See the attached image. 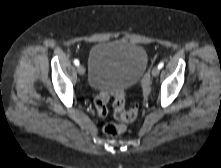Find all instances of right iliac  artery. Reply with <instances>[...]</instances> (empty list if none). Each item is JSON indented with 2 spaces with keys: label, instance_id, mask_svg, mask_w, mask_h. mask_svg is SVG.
Returning a JSON list of instances; mask_svg holds the SVG:
<instances>
[{
  "label": "right iliac artery",
  "instance_id": "1",
  "mask_svg": "<svg viewBox=\"0 0 221 168\" xmlns=\"http://www.w3.org/2000/svg\"><path fill=\"white\" fill-rule=\"evenodd\" d=\"M74 64H75L76 66H78V65H79V60H78V59H75V60H74Z\"/></svg>",
  "mask_w": 221,
  "mask_h": 168
}]
</instances>
